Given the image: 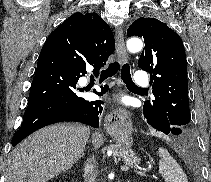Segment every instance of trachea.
I'll return each mask as SVG.
<instances>
[{
    "label": "trachea",
    "instance_id": "trachea-1",
    "mask_svg": "<svg viewBox=\"0 0 211 182\" xmlns=\"http://www.w3.org/2000/svg\"><path fill=\"white\" fill-rule=\"evenodd\" d=\"M119 70H120V64L118 62H114L109 64V66L105 70L101 71V76L110 77L115 75ZM121 78L127 86L132 88L142 89L133 83L128 63L123 64L121 68Z\"/></svg>",
    "mask_w": 211,
    "mask_h": 182
}]
</instances>
